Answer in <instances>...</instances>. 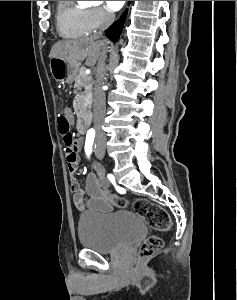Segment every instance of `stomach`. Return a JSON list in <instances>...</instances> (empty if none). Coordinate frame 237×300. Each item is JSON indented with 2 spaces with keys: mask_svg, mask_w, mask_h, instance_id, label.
Instances as JSON below:
<instances>
[{
  "mask_svg": "<svg viewBox=\"0 0 237 300\" xmlns=\"http://www.w3.org/2000/svg\"><path fill=\"white\" fill-rule=\"evenodd\" d=\"M49 67L53 79L58 83H73L78 73V63H68L58 57L50 59Z\"/></svg>",
  "mask_w": 237,
  "mask_h": 300,
  "instance_id": "1",
  "label": "stomach"
}]
</instances>
